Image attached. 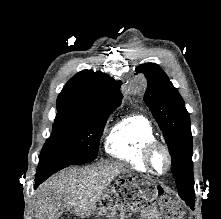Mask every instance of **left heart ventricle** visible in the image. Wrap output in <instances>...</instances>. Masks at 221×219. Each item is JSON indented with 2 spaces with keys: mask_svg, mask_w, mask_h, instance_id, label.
Here are the masks:
<instances>
[{
  "mask_svg": "<svg viewBox=\"0 0 221 219\" xmlns=\"http://www.w3.org/2000/svg\"><path fill=\"white\" fill-rule=\"evenodd\" d=\"M153 165L156 171L163 172L166 168L167 161L161 150H156L153 155Z\"/></svg>",
  "mask_w": 221,
  "mask_h": 219,
  "instance_id": "1",
  "label": "left heart ventricle"
}]
</instances>
